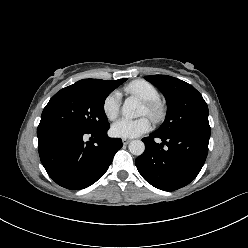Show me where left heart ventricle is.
<instances>
[{
  "instance_id": "1",
  "label": "left heart ventricle",
  "mask_w": 248,
  "mask_h": 248,
  "mask_svg": "<svg viewBox=\"0 0 248 248\" xmlns=\"http://www.w3.org/2000/svg\"><path fill=\"white\" fill-rule=\"evenodd\" d=\"M142 113L144 114V113H146V109H145V107H143V111H142Z\"/></svg>"
}]
</instances>
